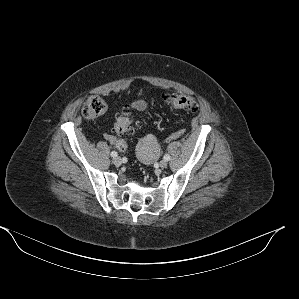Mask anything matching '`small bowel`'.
<instances>
[{
  "mask_svg": "<svg viewBox=\"0 0 299 299\" xmlns=\"http://www.w3.org/2000/svg\"><path fill=\"white\" fill-rule=\"evenodd\" d=\"M143 94V91H140L138 93L139 96H141ZM130 107L136 111H144L147 109L148 107V101L145 99V98H142V97H139L137 98L136 100H134ZM105 139L110 142L111 144H113L114 146H116V143H117V138L116 136H113L111 134H105ZM117 147V146H116ZM119 149V148H118ZM120 151H125V150H122V149H119Z\"/></svg>",
  "mask_w": 299,
  "mask_h": 299,
  "instance_id": "c3829d8e",
  "label": "small bowel"
}]
</instances>
